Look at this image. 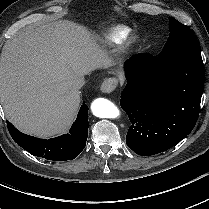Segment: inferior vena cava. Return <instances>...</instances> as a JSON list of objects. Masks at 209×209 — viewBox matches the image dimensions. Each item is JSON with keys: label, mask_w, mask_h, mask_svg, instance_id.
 Here are the masks:
<instances>
[{"label": "inferior vena cava", "mask_w": 209, "mask_h": 209, "mask_svg": "<svg viewBox=\"0 0 209 209\" xmlns=\"http://www.w3.org/2000/svg\"><path fill=\"white\" fill-rule=\"evenodd\" d=\"M85 84V79L83 76H79L77 77L74 81H73V88L76 90H79L82 88V86Z\"/></svg>", "instance_id": "602c4592"}]
</instances>
